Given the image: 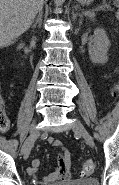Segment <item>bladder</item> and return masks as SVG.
<instances>
[{"label":"bladder","instance_id":"31cf9c89","mask_svg":"<svg viewBox=\"0 0 119 185\" xmlns=\"http://www.w3.org/2000/svg\"><path fill=\"white\" fill-rule=\"evenodd\" d=\"M53 185H99V182L94 178L78 179L68 183H58Z\"/></svg>","mask_w":119,"mask_h":185}]
</instances>
